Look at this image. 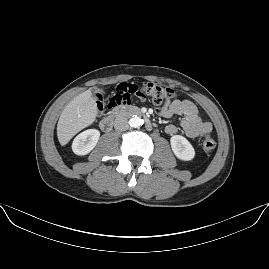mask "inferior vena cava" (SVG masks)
Here are the masks:
<instances>
[{
	"mask_svg": "<svg viewBox=\"0 0 269 269\" xmlns=\"http://www.w3.org/2000/svg\"><path fill=\"white\" fill-rule=\"evenodd\" d=\"M114 129L118 132H123L126 131L129 127V123L127 121V119L122 118V117H118L114 120L113 123Z\"/></svg>",
	"mask_w": 269,
	"mask_h": 269,
	"instance_id": "inferior-vena-cava-1",
	"label": "inferior vena cava"
}]
</instances>
